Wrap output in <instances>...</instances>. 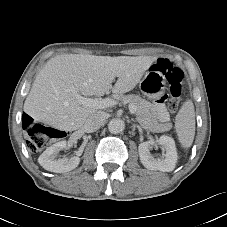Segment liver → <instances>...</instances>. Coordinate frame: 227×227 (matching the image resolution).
I'll return each mask as SVG.
<instances>
[{"instance_id":"6515ba94","label":"liver","mask_w":227,"mask_h":227,"mask_svg":"<svg viewBox=\"0 0 227 227\" xmlns=\"http://www.w3.org/2000/svg\"><path fill=\"white\" fill-rule=\"evenodd\" d=\"M156 59L152 56H55L37 74L24 111L58 130H78L98 109L82 105L77 95L102 96L109 90L119 95L127 93L135 88Z\"/></svg>"}]
</instances>
